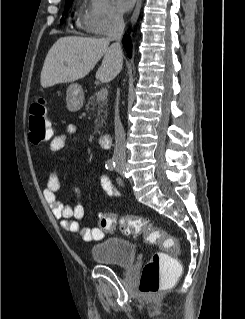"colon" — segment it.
Returning a JSON list of instances; mask_svg holds the SVG:
<instances>
[{"instance_id": "obj_1", "label": "colon", "mask_w": 245, "mask_h": 319, "mask_svg": "<svg viewBox=\"0 0 245 319\" xmlns=\"http://www.w3.org/2000/svg\"><path fill=\"white\" fill-rule=\"evenodd\" d=\"M51 128L47 120V102L40 98L30 107L29 139L38 145L51 137ZM99 225L103 230L115 232L119 229L126 235H143L152 244H157L166 251H176L177 240L165 235L153 222L130 214L116 217L109 212L101 213ZM179 264L174 263L165 252L152 255L144 265L139 285L142 294L151 295L174 280L181 272Z\"/></svg>"}]
</instances>
